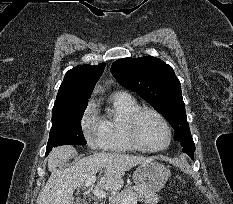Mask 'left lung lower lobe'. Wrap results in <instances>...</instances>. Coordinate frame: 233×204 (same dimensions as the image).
Wrapping results in <instances>:
<instances>
[{"mask_svg": "<svg viewBox=\"0 0 233 204\" xmlns=\"http://www.w3.org/2000/svg\"><path fill=\"white\" fill-rule=\"evenodd\" d=\"M188 153L187 154H189L191 157H193V153H194V151H190V150H186Z\"/></svg>", "mask_w": 233, "mask_h": 204, "instance_id": "0a47b994", "label": "left lung lower lobe"}]
</instances>
